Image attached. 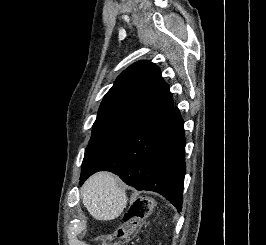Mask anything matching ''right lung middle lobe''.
Returning a JSON list of instances; mask_svg holds the SVG:
<instances>
[{"label": "right lung middle lobe", "instance_id": "right-lung-middle-lobe-1", "mask_svg": "<svg viewBox=\"0 0 266 245\" xmlns=\"http://www.w3.org/2000/svg\"><path fill=\"white\" fill-rule=\"evenodd\" d=\"M141 122L142 120L139 119L119 116H98L85 151L81 173L87 170L100 156L118 144Z\"/></svg>", "mask_w": 266, "mask_h": 245}]
</instances>
